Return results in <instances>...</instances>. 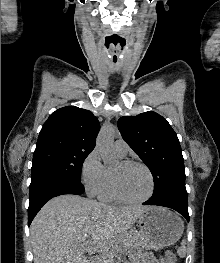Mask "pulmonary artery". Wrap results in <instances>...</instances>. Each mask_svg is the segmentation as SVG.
<instances>
[{
  "instance_id": "e3ab8cb5",
  "label": "pulmonary artery",
  "mask_w": 220,
  "mask_h": 263,
  "mask_svg": "<svg viewBox=\"0 0 220 263\" xmlns=\"http://www.w3.org/2000/svg\"><path fill=\"white\" fill-rule=\"evenodd\" d=\"M113 149L118 155L124 157L127 155L129 147L123 139H117L113 144Z\"/></svg>"
}]
</instances>
